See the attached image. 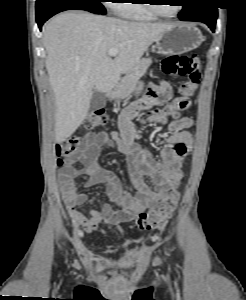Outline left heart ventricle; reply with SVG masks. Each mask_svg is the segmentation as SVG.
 <instances>
[{
    "label": "left heart ventricle",
    "mask_w": 246,
    "mask_h": 300,
    "mask_svg": "<svg viewBox=\"0 0 246 300\" xmlns=\"http://www.w3.org/2000/svg\"><path fill=\"white\" fill-rule=\"evenodd\" d=\"M163 3H170L174 5H159L160 10L165 14H173L177 9L178 5H175V1L171 0H161Z\"/></svg>",
    "instance_id": "left-heart-ventricle-1"
}]
</instances>
